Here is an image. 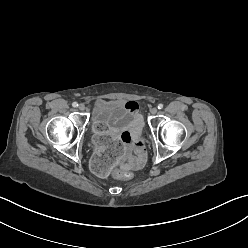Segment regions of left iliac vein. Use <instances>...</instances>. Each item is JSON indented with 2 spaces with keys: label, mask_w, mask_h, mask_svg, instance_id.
Returning <instances> with one entry per match:
<instances>
[{
  "label": "left iliac vein",
  "mask_w": 248,
  "mask_h": 248,
  "mask_svg": "<svg viewBox=\"0 0 248 248\" xmlns=\"http://www.w3.org/2000/svg\"><path fill=\"white\" fill-rule=\"evenodd\" d=\"M157 108L156 107H153L151 110H150V112H151V114L152 115H155L156 113H157Z\"/></svg>",
  "instance_id": "left-iliac-vein-1"
}]
</instances>
